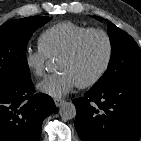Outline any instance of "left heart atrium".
<instances>
[{"label":"left heart atrium","instance_id":"1","mask_svg":"<svg viewBox=\"0 0 141 141\" xmlns=\"http://www.w3.org/2000/svg\"><path fill=\"white\" fill-rule=\"evenodd\" d=\"M76 85L77 81L68 71L59 70L43 79L37 88L44 94L60 98L71 92Z\"/></svg>","mask_w":141,"mask_h":141}]
</instances>
